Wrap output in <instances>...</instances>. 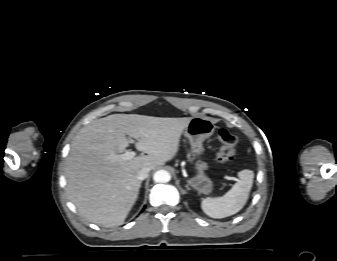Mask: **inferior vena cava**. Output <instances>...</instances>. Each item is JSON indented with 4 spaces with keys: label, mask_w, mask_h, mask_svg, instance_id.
Listing matches in <instances>:
<instances>
[{
    "label": "inferior vena cava",
    "mask_w": 337,
    "mask_h": 261,
    "mask_svg": "<svg viewBox=\"0 0 337 261\" xmlns=\"http://www.w3.org/2000/svg\"><path fill=\"white\" fill-rule=\"evenodd\" d=\"M151 169L149 167H144L137 172V179L142 181L148 177V173Z\"/></svg>",
    "instance_id": "602c4592"
}]
</instances>
